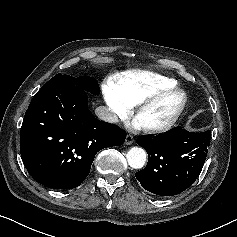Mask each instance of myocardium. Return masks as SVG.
<instances>
[{
  "mask_svg": "<svg viewBox=\"0 0 237 237\" xmlns=\"http://www.w3.org/2000/svg\"><path fill=\"white\" fill-rule=\"evenodd\" d=\"M171 95H178L180 97L179 104L174 110V112L166 121L160 124L143 126V129L145 131L155 133V132H164V131L169 130L177 122V120L183 113L188 102V96L183 89H180L178 87H171V88L158 91L154 95L144 99L143 101L135 105L136 107L134 109V114H135V117L137 118L144 110L156 105L158 102H160L164 98Z\"/></svg>",
  "mask_w": 237,
  "mask_h": 237,
  "instance_id": "obj_1",
  "label": "myocardium"
}]
</instances>
